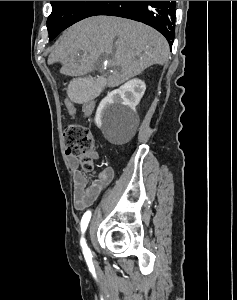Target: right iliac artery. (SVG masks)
<instances>
[{
    "label": "right iliac artery",
    "mask_w": 237,
    "mask_h": 300,
    "mask_svg": "<svg viewBox=\"0 0 237 300\" xmlns=\"http://www.w3.org/2000/svg\"><path fill=\"white\" fill-rule=\"evenodd\" d=\"M90 218H91V212L90 211H87L83 217H82V220H81V231H82V234L85 232V230L87 229V226H88V223L90 221ZM81 246L83 248V254L85 256V259L88 262L91 261V258H92V254H91V251L90 249L87 247V244L85 242V239L82 237L81 238Z\"/></svg>",
    "instance_id": "82829eb1"
}]
</instances>
